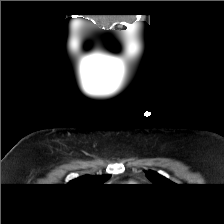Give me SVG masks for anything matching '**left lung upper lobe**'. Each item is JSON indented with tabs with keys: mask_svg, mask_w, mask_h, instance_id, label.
<instances>
[{
	"mask_svg": "<svg viewBox=\"0 0 224 224\" xmlns=\"http://www.w3.org/2000/svg\"><path fill=\"white\" fill-rule=\"evenodd\" d=\"M145 173H146V176L148 177V179L150 181H152L154 185H169V184H173L171 181H169L165 177L159 175L155 171L149 170V171H146Z\"/></svg>",
	"mask_w": 224,
	"mask_h": 224,
	"instance_id": "left-lung-upper-lobe-1",
	"label": "left lung upper lobe"
}]
</instances>
